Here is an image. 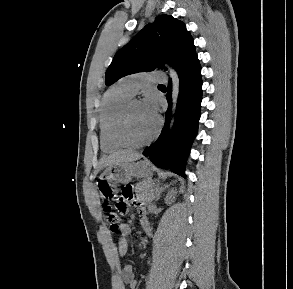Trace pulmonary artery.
<instances>
[{
	"instance_id": "obj_1",
	"label": "pulmonary artery",
	"mask_w": 293,
	"mask_h": 289,
	"mask_svg": "<svg viewBox=\"0 0 293 289\" xmlns=\"http://www.w3.org/2000/svg\"><path fill=\"white\" fill-rule=\"evenodd\" d=\"M166 78L164 77L163 72H142L130 74L121 79V83L131 95H135L143 86L153 82L161 83L165 82Z\"/></svg>"
}]
</instances>
